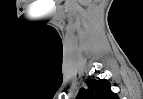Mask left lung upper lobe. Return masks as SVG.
Wrapping results in <instances>:
<instances>
[{
  "instance_id": "5c2ea615",
  "label": "left lung upper lobe",
  "mask_w": 143,
  "mask_h": 99,
  "mask_svg": "<svg viewBox=\"0 0 143 99\" xmlns=\"http://www.w3.org/2000/svg\"><path fill=\"white\" fill-rule=\"evenodd\" d=\"M87 89L81 88L76 99H119L118 95L111 91L109 81L105 79L88 78Z\"/></svg>"
}]
</instances>
